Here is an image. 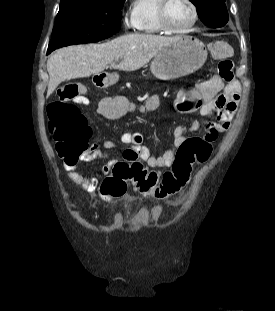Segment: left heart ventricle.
I'll return each mask as SVG.
<instances>
[{
  "label": "left heart ventricle",
  "instance_id": "b2bd125f",
  "mask_svg": "<svg viewBox=\"0 0 275 311\" xmlns=\"http://www.w3.org/2000/svg\"><path fill=\"white\" fill-rule=\"evenodd\" d=\"M192 17V9L186 0H171L167 10V19L172 28L185 27Z\"/></svg>",
  "mask_w": 275,
  "mask_h": 311
}]
</instances>
